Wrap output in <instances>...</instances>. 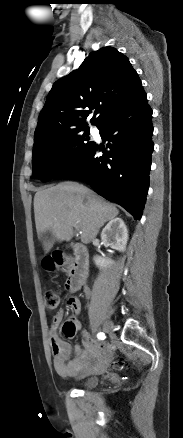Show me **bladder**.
I'll use <instances>...</instances> for the list:
<instances>
[{"label":"bladder","instance_id":"bladder-1","mask_svg":"<svg viewBox=\"0 0 183 438\" xmlns=\"http://www.w3.org/2000/svg\"><path fill=\"white\" fill-rule=\"evenodd\" d=\"M99 382L98 377H90L84 380L83 387L85 388H92L95 387Z\"/></svg>","mask_w":183,"mask_h":438}]
</instances>
